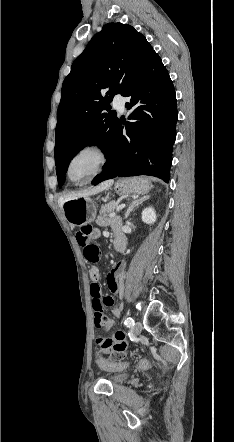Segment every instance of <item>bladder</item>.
I'll return each mask as SVG.
<instances>
[{
    "mask_svg": "<svg viewBox=\"0 0 234 442\" xmlns=\"http://www.w3.org/2000/svg\"><path fill=\"white\" fill-rule=\"evenodd\" d=\"M129 377V373L123 368H114L109 370L108 378L109 380L116 384L125 381Z\"/></svg>",
    "mask_w": 234,
    "mask_h": 442,
    "instance_id": "31cf9c89",
    "label": "bladder"
}]
</instances>
